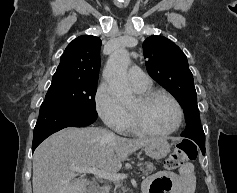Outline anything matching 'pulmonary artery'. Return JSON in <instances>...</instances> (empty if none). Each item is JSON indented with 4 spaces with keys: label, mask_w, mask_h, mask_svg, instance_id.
<instances>
[{
    "label": "pulmonary artery",
    "mask_w": 237,
    "mask_h": 193,
    "mask_svg": "<svg viewBox=\"0 0 237 193\" xmlns=\"http://www.w3.org/2000/svg\"><path fill=\"white\" fill-rule=\"evenodd\" d=\"M128 79L132 86L138 91L146 90L151 86L150 78L139 68L130 69Z\"/></svg>",
    "instance_id": "e3ab8cb5"
}]
</instances>
